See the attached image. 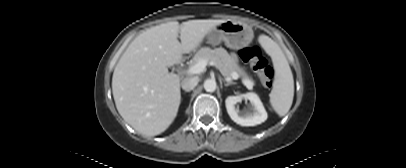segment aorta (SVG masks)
<instances>
[{
    "mask_svg": "<svg viewBox=\"0 0 406 168\" xmlns=\"http://www.w3.org/2000/svg\"><path fill=\"white\" fill-rule=\"evenodd\" d=\"M217 88L216 81L213 79H207L204 82V89L207 92H214Z\"/></svg>",
    "mask_w": 406,
    "mask_h": 168,
    "instance_id": "1",
    "label": "aorta"
}]
</instances>
